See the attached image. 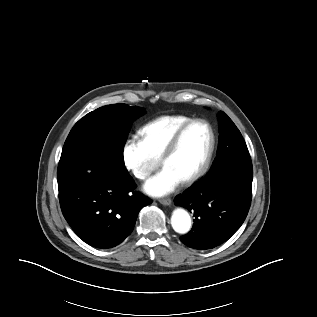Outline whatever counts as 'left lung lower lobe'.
Returning a JSON list of instances; mask_svg holds the SVG:
<instances>
[{
    "label": "left lung lower lobe",
    "mask_w": 317,
    "mask_h": 317,
    "mask_svg": "<svg viewBox=\"0 0 317 317\" xmlns=\"http://www.w3.org/2000/svg\"><path fill=\"white\" fill-rule=\"evenodd\" d=\"M253 170L231 167L216 177L205 176L175 198L194 214L192 230L180 237L196 249H212L243 224L251 204Z\"/></svg>",
    "instance_id": "left-lung-lower-lobe-1"
}]
</instances>
